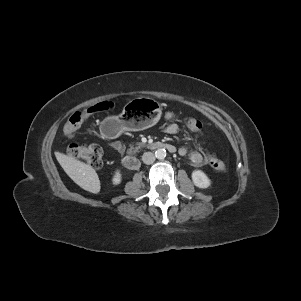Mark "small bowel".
<instances>
[{
  "mask_svg": "<svg viewBox=\"0 0 301 301\" xmlns=\"http://www.w3.org/2000/svg\"><path fill=\"white\" fill-rule=\"evenodd\" d=\"M168 119V118H166ZM170 120V119H168ZM179 131V126L176 123H169L165 128L164 132L167 134H176ZM113 148L120 154L125 151L124 145L119 141H111ZM179 154L183 157H187L194 164H202L204 162L203 155L195 150L189 149L187 147H181L179 149Z\"/></svg>",
  "mask_w": 301,
  "mask_h": 301,
  "instance_id": "1",
  "label": "small bowel"
}]
</instances>
